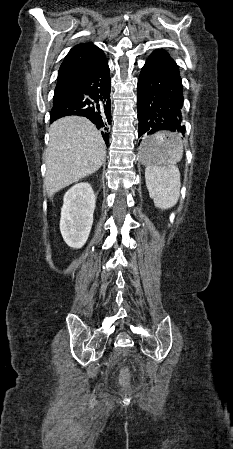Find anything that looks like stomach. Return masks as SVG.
I'll return each mask as SVG.
<instances>
[{"label": "stomach", "mask_w": 233, "mask_h": 449, "mask_svg": "<svg viewBox=\"0 0 233 449\" xmlns=\"http://www.w3.org/2000/svg\"><path fill=\"white\" fill-rule=\"evenodd\" d=\"M173 133H149L140 148L141 160L145 164H167L180 157ZM176 137V136H175ZM178 139V137H177Z\"/></svg>", "instance_id": "obj_1"}]
</instances>
